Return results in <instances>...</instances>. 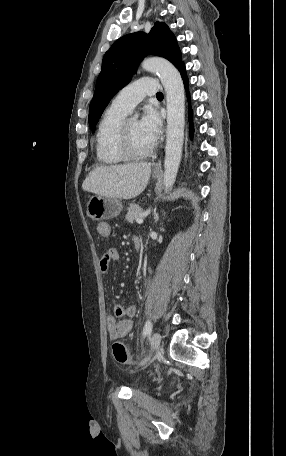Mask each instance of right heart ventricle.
<instances>
[{
    "label": "right heart ventricle",
    "mask_w": 286,
    "mask_h": 456,
    "mask_svg": "<svg viewBox=\"0 0 286 456\" xmlns=\"http://www.w3.org/2000/svg\"><path fill=\"white\" fill-rule=\"evenodd\" d=\"M127 112L110 106L97 129L95 144L97 159L106 165H116L126 159L119 149V130Z\"/></svg>",
    "instance_id": "obj_1"
}]
</instances>
